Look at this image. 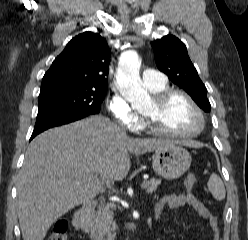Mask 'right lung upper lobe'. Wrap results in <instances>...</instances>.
Masks as SVG:
<instances>
[{
    "label": "right lung upper lobe",
    "instance_id": "right-lung-upper-lobe-1",
    "mask_svg": "<svg viewBox=\"0 0 248 240\" xmlns=\"http://www.w3.org/2000/svg\"><path fill=\"white\" fill-rule=\"evenodd\" d=\"M109 59L104 38L92 32L79 34L45 73L40 94L61 89H106Z\"/></svg>",
    "mask_w": 248,
    "mask_h": 240
}]
</instances>
